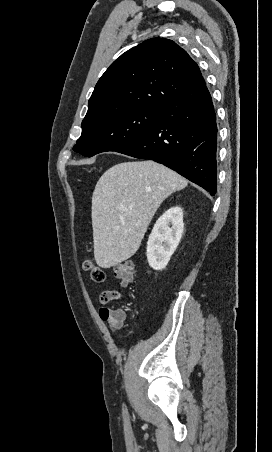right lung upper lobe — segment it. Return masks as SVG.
<instances>
[{
  "mask_svg": "<svg viewBox=\"0 0 272 452\" xmlns=\"http://www.w3.org/2000/svg\"><path fill=\"white\" fill-rule=\"evenodd\" d=\"M205 85L175 42L153 38L115 60L97 82L83 121L133 108L168 110Z\"/></svg>",
  "mask_w": 272,
  "mask_h": 452,
  "instance_id": "obj_1",
  "label": "right lung upper lobe"
}]
</instances>
